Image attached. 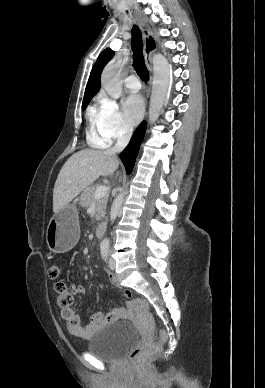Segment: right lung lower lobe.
Listing matches in <instances>:
<instances>
[{"instance_id":"obj_1","label":"right lung lower lobe","mask_w":265,"mask_h":388,"mask_svg":"<svg viewBox=\"0 0 265 388\" xmlns=\"http://www.w3.org/2000/svg\"><path fill=\"white\" fill-rule=\"evenodd\" d=\"M146 130V122H142L134 132L128 146L121 153V160L126 167V173L130 174L135 164L140 145Z\"/></svg>"}]
</instances>
